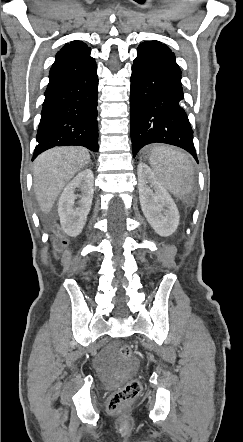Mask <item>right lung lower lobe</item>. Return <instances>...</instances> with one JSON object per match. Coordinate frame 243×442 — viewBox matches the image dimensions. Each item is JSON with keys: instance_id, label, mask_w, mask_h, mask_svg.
Returning <instances> with one entry per match:
<instances>
[{"instance_id": "right-lung-lower-lobe-1", "label": "right lung lower lobe", "mask_w": 243, "mask_h": 442, "mask_svg": "<svg viewBox=\"0 0 243 442\" xmlns=\"http://www.w3.org/2000/svg\"><path fill=\"white\" fill-rule=\"evenodd\" d=\"M98 76L90 49L54 62L33 159L55 146L78 145L98 151Z\"/></svg>"}]
</instances>
